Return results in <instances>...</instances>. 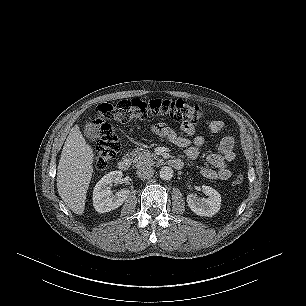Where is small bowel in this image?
<instances>
[{"label": "small bowel", "instance_id": "obj_1", "mask_svg": "<svg viewBox=\"0 0 306 306\" xmlns=\"http://www.w3.org/2000/svg\"><path fill=\"white\" fill-rule=\"evenodd\" d=\"M205 124L211 134L219 133L225 126L224 122L220 120H206ZM156 126L161 129V132L156 134L167 138L175 146L184 148L185 155L189 160L197 158L199 149L204 145L205 139L201 135L195 136L193 140L188 138L195 133V128L192 124H181V130L186 136L178 135L166 124L159 123ZM234 143L235 140L232 136H225L220 140L217 145V152L207 157V161L214 168L202 167L201 174L203 177L209 180H228L231 177L232 173L227 164L235 159Z\"/></svg>", "mask_w": 306, "mask_h": 306}]
</instances>
